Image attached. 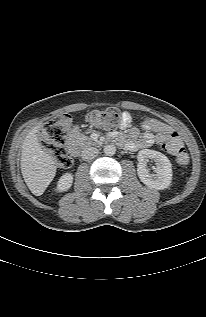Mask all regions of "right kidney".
<instances>
[{"label":"right kidney","instance_id":"right-kidney-1","mask_svg":"<svg viewBox=\"0 0 206 317\" xmlns=\"http://www.w3.org/2000/svg\"><path fill=\"white\" fill-rule=\"evenodd\" d=\"M73 183V175L71 173L63 174L58 181V190L60 192L67 191Z\"/></svg>","mask_w":206,"mask_h":317}]
</instances>
